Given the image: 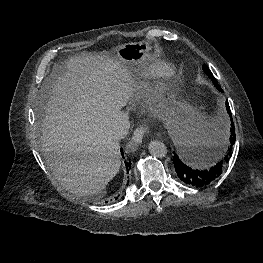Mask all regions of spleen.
Returning a JSON list of instances; mask_svg holds the SVG:
<instances>
[{
  "label": "spleen",
  "mask_w": 263,
  "mask_h": 263,
  "mask_svg": "<svg viewBox=\"0 0 263 263\" xmlns=\"http://www.w3.org/2000/svg\"><path fill=\"white\" fill-rule=\"evenodd\" d=\"M174 142L192 153H197L198 163L202 166L211 164L222 154L229 135L228 122L216 119L211 122L187 121L177 125L172 132Z\"/></svg>",
  "instance_id": "obj_1"
}]
</instances>
